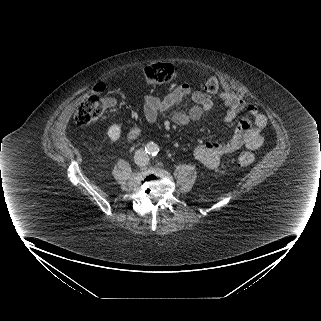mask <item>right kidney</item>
<instances>
[{
    "label": "right kidney",
    "mask_w": 321,
    "mask_h": 321,
    "mask_svg": "<svg viewBox=\"0 0 321 321\" xmlns=\"http://www.w3.org/2000/svg\"><path fill=\"white\" fill-rule=\"evenodd\" d=\"M107 135L112 141L118 140L121 135V127L118 124H112L107 130Z\"/></svg>",
    "instance_id": "obj_1"
}]
</instances>
